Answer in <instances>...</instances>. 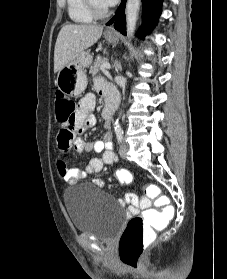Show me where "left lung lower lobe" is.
<instances>
[{"label":"left lung lower lobe","mask_w":227,"mask_h":279,"mask_svg":"<svg viewBox=\"0 0 227 279\" xmlns=\"http://www.w3.org/2000/svg\"><path fill=\"white\" fill-rule=\"evenodd\" d=\"M163 0H142L143 3V26L139 31V36L143 37L152 30L157 24L158 17L161 14V6ZM125 4L126 0H122L117 13L107 23L110 25L113 23L114 28L120 33L126 35L125 30Z\"/></svg>","instance_id":"left-lung-lower-lobe-1"}]
</instances>
